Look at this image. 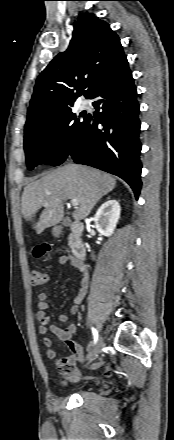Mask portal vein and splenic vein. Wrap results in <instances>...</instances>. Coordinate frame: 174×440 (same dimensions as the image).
Instances as JSON below:
<instances>
[{"mask_svg":"<svg viewBox=\"0 0 174 440\" xmlns=\"http://www.w3.org/2000/svg\"><path fill=\"white\" fill-rule=\"evenodd\" d=\"M70 203H71L72 206H78L79 205V202L76 199H72L70 201Z\"/></svg>","mask_w":174,"mask_h":440,"instance_id":"18ae733b","label":"portal vein and splenic vein"}]
</instances>
